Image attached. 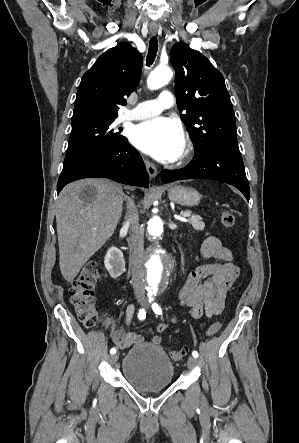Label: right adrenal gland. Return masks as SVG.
Returning <instances> with one entry per match:
<instances>
[{
    "instance_id": "right-adrenal-gland-1",
    "label": "right adrenal gland",
    "mask_w": 299,
    "mask_h": 443,
    "mask_svg": "<svg viewBox=\"0 0 299 443\" xmlns=\"http://www.w3.org/2000/svg\"><path fill=\"white\" fill-rule=\"evenodd\" d=\"M124 199L127 201V208L132 204V200L129 196L124 195Z\"/></svg>"
}]
</instances>
